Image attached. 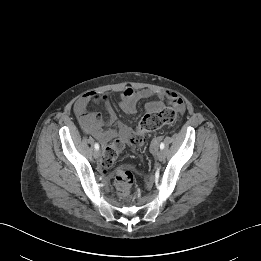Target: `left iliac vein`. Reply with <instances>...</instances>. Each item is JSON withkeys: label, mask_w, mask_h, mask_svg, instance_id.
Listing matches in <instances>:
<instances>
[{"label": "left iliac vein", "mask_w": 261, "mask_h": 261, "mask_svg": "<svg viewBox=\"0 0 261 261\" xmlns=\"http://www.w3.org/2000/svg\"><path fill=\"white\" fill-rule=\"evenodd\" d=\"M155 156H156V158L159 160V161H163L164 160V158H165V156H164V152H163V150H157L156 152H155Z\"/></svg>", "instance_id": "1"}]
</instances>
